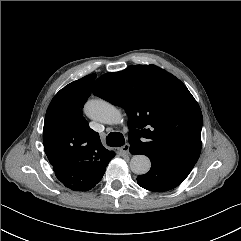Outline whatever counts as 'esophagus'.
<instances>
[{"label": "esophagus", "instance_id": "1", "mask_svg": "<svg viewBox=\"0 0 241 241\" xmlns=\"http://www.w3.org/2000/svg\"><path fill=\"white\" fill-rule=\"evenodd\" d=\"M129 149H130V145L128 143H126L125 145H123L121 148H120V152L122 154H129Z\"/></svg>", "mask_w": 241, "mask_h": 241}]
</instances>
